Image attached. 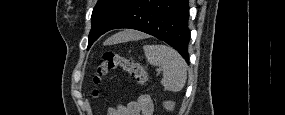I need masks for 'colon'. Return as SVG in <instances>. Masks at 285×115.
<instances>
[{"label":"colon","mask_w":285,"mask_h":115,"mask_svg":"<svg viewBox=\"0 0 285 115\" xmlns=\"http://www.w3.org/2000/svg\"><path fill=\"white\" fill-rule=\"evenodd\" d=\"M120 68L131 76L138 84L145 85L148 82V73L145 68L125 57H122L113 52H105L102 60L96 67V73L93 78L95 85H99L102 79L111 71ZM98 95V91H94V96Z\"/></svg>","instance_id":"colon-1"}]
</instances>
